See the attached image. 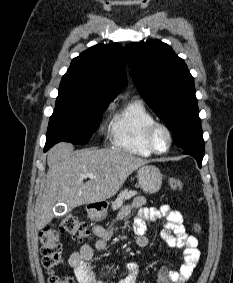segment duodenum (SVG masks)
Returning a JSON list of instances; mask_svg holds the SVG:
<instances>
[{"instance_id":"1","label":"duodenum","mask_w":233,"mask_h":283,"mask_svg":"<svg viewBox=\"0 0 233 283\" xmlns=\"http://www.w3.org/2000/svg\"><path fill=\"white\" fill-rule=\"evenodd\" d=\"M105 207V205L102 202L96 203L92 206L93 211H100Z\"/></svg>"}]
</instances>
